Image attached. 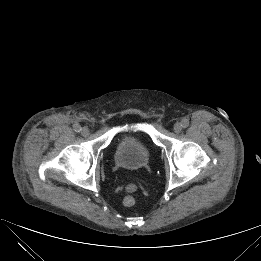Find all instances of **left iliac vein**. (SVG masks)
<instances>
[{
    "mask_svg": "<svg viewBox=\"0 0 261 261\" xmlns=\"http://www.w3.org/2000/svg\"><path fill=\"white\" fill-rule=\"evenodd\" d=\"M173 130L176 132V133H179L181 130H182V126L179 122H176L174 125H173Z\"/></svg>",
    "mask_w": 261,
    "mask_h": 261,
    "instance_id": "4c4485c4",
    "label": "left iliac vein"
}]
</instances>
